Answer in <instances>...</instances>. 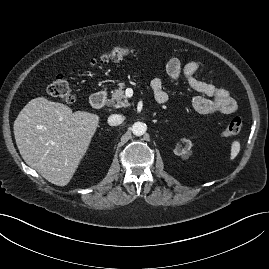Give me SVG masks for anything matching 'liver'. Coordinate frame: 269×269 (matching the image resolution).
Segmentation results:
<instances>
[{
    "instance_id": "1",
    "label": "liver",
    "mask_w": 269,
    "mask_h": 269,
    "mask_svg": "<svg viewBox=\"0 0 269 269\" xmlns=\"http://www.w3.org/2000/svg\"><path fill=\"white\" fill-rule=\"evenodd\" d=\"M100 117L45 97L29 101L14 121L19 152L31 168L66 186L86 154Z\"/></svg>"
}]
</instances>
